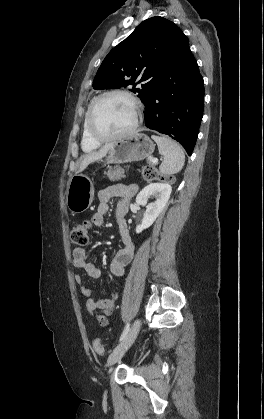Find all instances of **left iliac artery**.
<instances>
[{
    "label": "left iliac artery",
    "mask_w": 264,
    "mask_h": 419,
    "mask_svg": "<svg viewBox=\"0 0 264 419\" xmlns=\"http://www.w3.org/2000/svg\"><path fill=\"white\" fill-rule=\"evenodd\" d=\"M129 329H130V326H129V324L127 323L126 324V326H125V328H124V330H123V332H122V335H121V337H120V341H122L124 338H125V336L127 335V333L129 332Z\"/></svg>",
    "instance_id": "obj_1"
}]
</instances>
